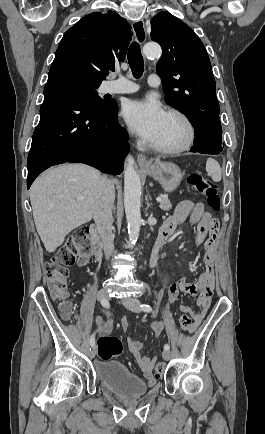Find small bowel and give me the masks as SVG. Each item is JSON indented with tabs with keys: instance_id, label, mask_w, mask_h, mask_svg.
Returning <instances> with one entry per match:
<instances>
[{
	"instance_id": "obj_1",
	"label": "small bowel",
	"mask_w": 265,
	"mask_h": 434,
	"mask_svg": "<svg viewBox=\"0 0 265 434\" xmlns=\"http://www.w3.org/2000/svg\"><path fill=\"white\" fill-rule=\"evenodd\" d=\"M187 220L191 224H197L198 242H202L205 237L207 238L206 252L203 255L204 271L196 283H189L185 279L171 283L168 288V303L173 304L176 302L181 294H188L197 297L196 303L199 308L198 311H194L188 305L179 306V311L183 314H188L192 319V326L188 330V332L192 333L201 324L211 304L212 290L215 283L213 247L219 227V222L210 212L205 210V207L202 203L182 201L178 204L174 213L169 216L162 225L158 243L163 244ZM209 228H212L213 231L209 235H206L205 232ZM97 324L100 326L102 333L107 331L106 327H103L102 318L97 319ZM163 326L164 324L162 321H155L152 324L151 328L155 337H159L163 330ZM121 328L124 332L128 329V323L125 318H122ZM126 343L130 351L136 356L139 364L141 365L148 385H154L155 376L151 372V369L153 368L155 359L144 357L141 354L143 347L142 341L135 340L132 337H127Z\"/></svg>"
}]
</instances>
